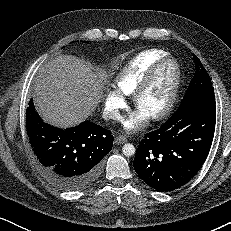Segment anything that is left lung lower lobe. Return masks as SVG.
Listing matches in <instances>:
<instances>
[{
  "label": "left lung lower lobe",
  "instance_id": "1",
  "mask_svg": "<svg viewBox=\"0 0 231 231\" xmlns=\"http://www.w3.org/2000/svg\"><path fill=\"white\" fill-rule=\"evenodd\" d=\"M216 104H189L145 135L133 162L139 177L160 192L176 190L200 170L211 148Z\"/></svg>",
  "mask_w": 231,
  "mask_h": 231
}]
</instances>
